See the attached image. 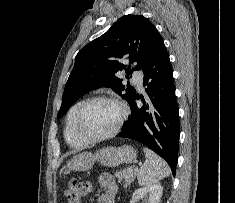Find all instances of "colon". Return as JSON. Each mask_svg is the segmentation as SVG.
I'll list each match as a JSON object with an SVG mask.
<instances>
[{"mask_svg":"<svg viewBox=\"0 0 235 203\" xmlns=\"http://www.w3.org/2000/svg\"><path fill=\"white\" fill-rule=\"evenodd\" d=\"M92 186L89 182L81 181L79 179L70 180L66 190L65 196L68 203H80L81 200L90 192Z\"/></svg>","mask_w":235,"mask_h":203,"instance_id":"1","label":"colon"}]
</instances>
